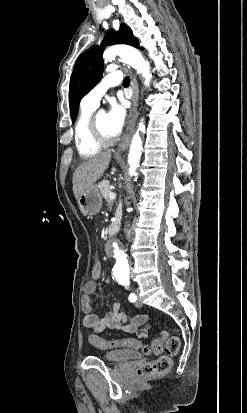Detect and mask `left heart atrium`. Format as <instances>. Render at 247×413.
<instances>
[{"instance_id": "obj_1", "label": "left heart atrium", "mask_w": 247, "mask_h": 413, "mask_svg": "<svg viewBox=\"0 0 247 413\" xmlns=\"http://www.w3.org/2000/svg\"><path fill=\"white\" fill-rule=\"evenodd\" d=\"M126 112L122 104L115 99L110 101V107L105 116V125L108 127L113 137H116L122 131L125 123Z\"/></svg>"}]
</instances>
